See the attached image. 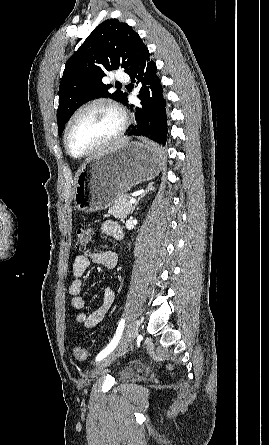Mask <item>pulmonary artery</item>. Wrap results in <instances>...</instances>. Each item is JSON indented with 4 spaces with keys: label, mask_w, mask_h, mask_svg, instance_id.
<instances>
[{
    "label": "pulmonary artery",
    "mask_w": 269,
    "mask_h": 445,
    "mask_svg": "<svg viewBox=\"0 0 269 445\" xmlns=\"http://www.w3.org/2000/svg\"><path fill=\"white\" fill-rule=\"evenodd\" d=\"M115 79L118 81H126L128 79L127 75L122 73V72H118L115 75Z\"/></svg>",
    "instance_id": "pulmonary-artery-1"
}]
</instances>
